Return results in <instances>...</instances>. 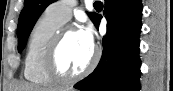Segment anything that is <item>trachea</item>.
Instances as JSON below:
<instances>
[{
  "label": "trachea",
  "mask_w": 173,
  "mask_h": 91,
  "mask_svg": "<svg viewBox=\"0 0 173 91\" xmlns=\"http://www.w3.org/2000/svg\"><path fill=\"white\" fill-rule=\"evenodd\" d=\"M94 6H95V7H103V4H102V2H100V1H96V2L94 3Z\"/></svg>",
  "instance_id": "1"
}]
</instances>
